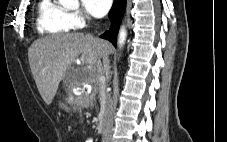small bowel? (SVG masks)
Instances as JSON below:
<instances>
[{
	"label": "small bowel",
	"instance_id": "1",
	"mask_svg": "<svg viewBox=\"0 0 227 142\" xmlns=\"http://www.w3.org/2000/svg\"><path fill=\"white\" fill-rule=\"evenodd\" d=\"M84 142H93V140L91 138H87L84 140Z\"/></svg>",
	"mask_w": 227,
	"mask_h": 142
}]
</instances>
